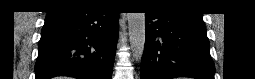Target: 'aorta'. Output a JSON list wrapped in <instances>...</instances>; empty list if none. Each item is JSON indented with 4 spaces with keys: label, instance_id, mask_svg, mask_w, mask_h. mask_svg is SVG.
<instances>
[{
    "label": "aorta",
    "instance_id": "aorta-1",
    "mask_svg": "<svg viewBox=\"0 0 255 79\" xmlns=\"http://www.w3.org/2000/svg\"><path fill=\"white\" fill-rule=\"evenodd\" d=\"M127 19L132 56L139 61L145 46V13H128Z\"/></svg>",
    "mask_w": 255,
    "mask_h": 79
}]
</instances>
